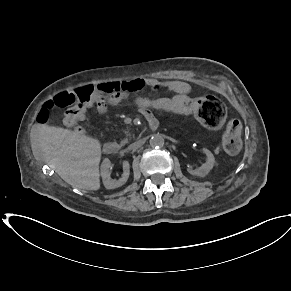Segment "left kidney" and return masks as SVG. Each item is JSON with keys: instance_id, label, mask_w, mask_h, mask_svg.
Masks as SVG:
<instances>
[{"instance_id": "obj_1", "label": "left kidney", "mask_w": 291, "mask_h": 291, "mask_svg": "<svg viewBox=\"0 0 291 291\" xmlns=\"http://www.w3.org/2000/svg\"><path fill=\"white\" fill-rule=\"evenodd\" d=\"M203 152L206 154L207 156V160L206 163L202 164L201 167L193 170V169H188V172L191 175H195V176H199V177H205L213 168L214 164H215V158L213 156V154L211 153V151H209L206 148H203Z\"/></svg>"}]
</instances>
